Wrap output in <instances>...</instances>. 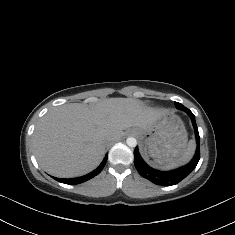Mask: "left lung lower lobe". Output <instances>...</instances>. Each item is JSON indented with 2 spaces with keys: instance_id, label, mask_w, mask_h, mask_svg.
<instances>
[{
  "instance_id": "obj_1",
  "label": "left lung lower lobe",
  "mask_w": 235,
  "mask_h": 235,
  "mask_svg": "<svg viewBox=\"0 0 235 235\" xmlns=\"http://www.w3.org/2000/svg\"><path fill=\"white\" fill-rule=\"evenodd\" d=\"M185 112L191 117V121L195 130L196 142H197L196 153L190 163L176 170L166 171V172L158 171V170L151 168L144 162V160L141 158L139 154L137 147L134 150V164H135L137 171L142 177L147 178L148 180H150L151 182L157 185L170 186V185H175L179 183L181 180L187 177L195 169V167L197 166L199 162L200 137H199L196 121H195V116L189 109H187Z\"/></svg>"
}]
</instances>
